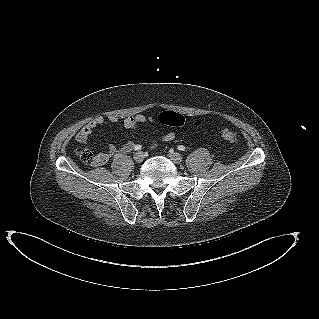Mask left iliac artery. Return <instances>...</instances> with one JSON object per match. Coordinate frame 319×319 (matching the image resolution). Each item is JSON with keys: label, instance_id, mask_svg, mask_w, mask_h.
Here are the masks:
<instances>
[{"label": "left iliac artery", "instance_id": "obj_1", "mask_svg": "<svg viewBox=\"0 0 319 319\" xmlns=\"http://www.w3.org/2000/svg\"><path fill=\"white\" fill-rule=\"evenodd\" d=\"M178 149H179L180 151H185L186 148H185V146H183V145H179V146H178Z\"/></svg>", "mask_w": 319, "mask_h": 319}]
</instances>
